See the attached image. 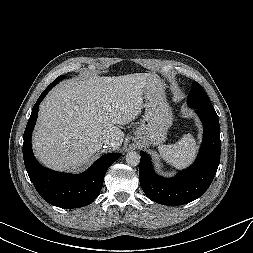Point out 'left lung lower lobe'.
Returning <instances> with one entry per match:
<instances>
[{"mask_svg":"<svg viewBox=\"0 0 253 253\" xmlns=\"http://www.w3.org/2000/svg\"><path fill=\"white\" fill-rule=\"evenodd\" d=\"M203 126V144L200 153L189 168L174 178L166 179L155 174L150 157L141 152L139 167L140 185L153 201L163 205H182L199 198L208 189L220 162V125L215 110L196 108Z\"/></svg>","mask_w":253,"mask_h":253,"instance_id":"left-lung-lower-lobe-1","label":"left lung lower lobe"}]
</instances>
